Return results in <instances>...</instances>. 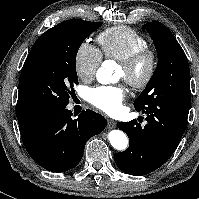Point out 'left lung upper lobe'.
I'll return each instance as SVG.
<instances>
[{"label":"left lung upper lobe","instance_id":"left-lung-upper-lobe-1","mask_svg":"<svg viewBox=\"0 0 199 199\" xmlns=\"http://www.w3.org/2000/svg\"><path fill=\"white\" fill-rule=\"evenodd\" d=\"M157 50V68L146 88L134 101L136 111L147 113L161 103L190 107V70L187 57L172 32L162 23L152 21L142 26Z\"/></svg>","mask_w":199,"mask_h":199}]
</instances>
